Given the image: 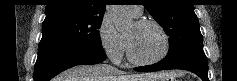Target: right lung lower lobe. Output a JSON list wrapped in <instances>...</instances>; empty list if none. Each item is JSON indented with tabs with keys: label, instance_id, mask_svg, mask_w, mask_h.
Here are the masks:
<instances>
[{
	"label": "right lung lower lobe",
	"instance_id": "right-lung-lower-lobe-1",
	"mask_svg": "<svg viewBox=\"0 0 237 81\" xmlns=\"http://www.w3.org/2000/svg\"><path fill=\"white\" fill-rule=\"evenodd\" d=\"M101 47L70 46L40 43L34 68V81H49L60 72L76 65H91L104 61Z\"/></svg>",
	"mask_w": 237,
	"mask_h": 81
}]
</instances>
